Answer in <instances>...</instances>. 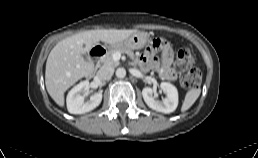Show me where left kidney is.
<instances>
[{
    "instance_id": "5707ae66",
    "label": "left kidney",
    "mask_w": 258,
    "mask_h": 158,
    "mask_svg": "<svg viewBox=\"0 0 258 158\" xmlns=\"http://www.w3.org/2000/svg\"><path fill=\"white\" fill-rule=\"evenodd\" d=\"M160 88L166 94V97L162 100H156L153 97V90L150 87H145L142 90V96L145 103L153 110L162 112L165 114L175 111L178 106V91L177 88L168 82H162Z\"/></svg>"
}]
</instances>
